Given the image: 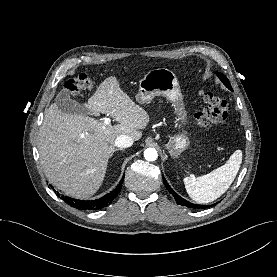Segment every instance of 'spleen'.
<instances>
[{
  "label": "spleen",
  "instance_id": "3e777b00",
  "mask_svg": "<svg viewBox=\"0 0 277 277\" xmlns=\"http://www.w3.org/2000/svg\"><path fill=\"white\" fill-rule=\"evenodd\" d=\"M242 162V151L236 150L229 160L209 174L183 179L190 198L200 204L212 202L223 195L234 181Z\"/></svg>",
  "mask_w": 277,
  "mask_h": 277
}]
</instances>
